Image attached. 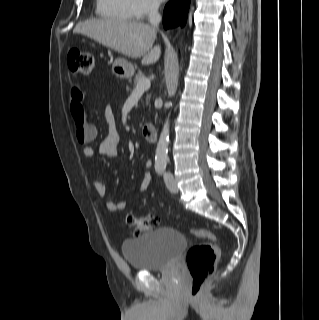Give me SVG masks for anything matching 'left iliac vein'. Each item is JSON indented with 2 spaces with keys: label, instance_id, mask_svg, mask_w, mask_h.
<instances>
[{
  "label": "left iliac vein",
  "instance_id": "obj_1",
  "mask_svg": "<svg viewBox=\"0 0 319 320\" xmlns=\"http://www.w3.org/2000/svg\"><path fill=\"white\" fill-rule=\"evenodd\" d=\"M165 183H166V186L170 192H172V193L178 192V187L176 185L175 180L172 177L166 176Z\"/></svg>",
  "mask_w": 319,
  "mask_h": 320
}]
</instances>
